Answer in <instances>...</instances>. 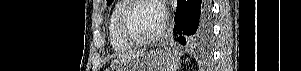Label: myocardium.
Wrapping results in <instances>:
<instances>
[{"instance_id":"myocardium-1","label":"myocardium","mask_w":301,"mask_h":71,"mask_svg":"<svg viewBox=\"0 0 301 71\" xmlns=\"http://www.w3.org/2000/svg\"><path fill=\"white\" fill-rule=\"evenodd\" d=\"M141 2H150V3L158 6L159 8L162 7L158 1H154V0H130V1H128V3L123 8V10L120 14L119 32H120L122 38L133 46H145V45H149V44L157 42L163 36V34L166 30V27H167V23H168V19L165 14L163 23H162L160 29L157 31V33H155L154 35H152L150 37H146V38H138V37L134 36L131 33L129 26H128V17H129L130 11Z\"/></svg>"}]
</instances>
